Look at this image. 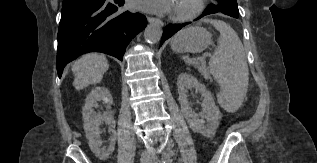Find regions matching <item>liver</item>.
I'll use <instances>...</instances> for the list:
<instances>
[{"label": "liver", "mask_w": 317, "mask_h": 163, "mask_svg": "<svg viewBox=\"0 0 317 163\" xmlns=\"http://www.w3.org/2000/svg\"><path fill=\"white\" fill-rule=\"evenodd\" d=\"M109 64L104 55L89 53L83 55L72 66L74 74L73 86L82 90L89 85L100 83Z\"/></svg>", "instance_id": "obj_1"}]
</instances>
